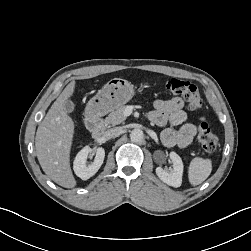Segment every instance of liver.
<instances>
[{"label": "liver", "instance_id": "6515ba94", "mask_svg": "<svg viewBox=\"0 0 251 251\" xmlns=\"http://www.w3.org/2000/svg\"><path fill=\"white\" fill-rule=\"evenodd\" d=\"M75 85L72 81L61 92L40 122L35 137L40 166L51 180L65 188L76 186L70 167L75 126L63 108L64 102L73 95Z\"/></svg>", "mask_w": 251, "mask_h": 251}]
</instances>
